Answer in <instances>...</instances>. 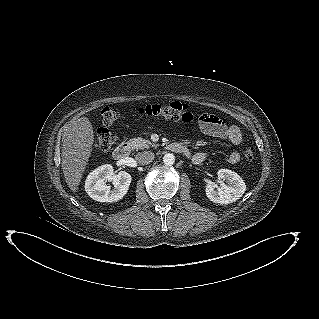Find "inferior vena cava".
I'll return each mask as SVG.
<instances>
[{"label":"inferior vena cava","mask_w":319,"mask_h":319,"mask_svg":"<svg viewBox=\"0 0 319 319\" xmlns=\"http://www.w3.org/2000/svg\"><path fill=\"white\" fill-rule=\"evenodd\" d=\"M154 157L155 155L153 152L143 151V152L137 153L135 158L140 165H146V164H150L154 160Z\"/></svg>","instance_id":"1"}]
</instances>
